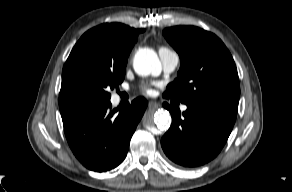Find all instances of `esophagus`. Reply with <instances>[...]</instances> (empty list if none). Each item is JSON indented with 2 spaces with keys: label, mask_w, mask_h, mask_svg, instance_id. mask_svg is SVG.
I'll use <instances>...</instances> for the list:
<instances>
[{
  "label": "esophagus",
  "mask_w": 292,
  "mask_h": 192,
  "mask_svg": "<svg viewBox=\"0 0 292 192\" xmlns=\"http://www.w3.org/2000/svg\"><path fill=\"white\" fill-rule=\"evenodd\" d=\"M159 107V104L156 102V101H150L149 103H148V108L149 109H156V108H158Z\"/></svg>",
  "instance_id": "34e87169"
}]
</instances>
